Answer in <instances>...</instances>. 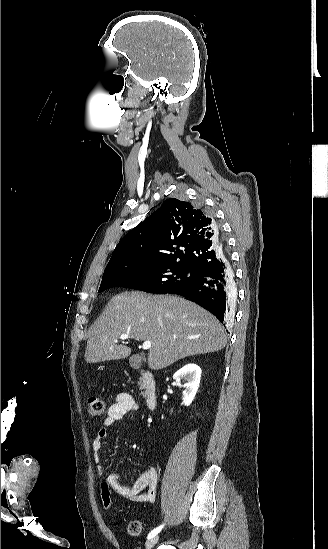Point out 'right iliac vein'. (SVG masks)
Here are the masks:
<instances>
[{
  "label": "right iliac vein",
  "instance_id": "1",
  "mask_svg": "<svg viewBox=\"0 0 328 549\" xmlns=\"http://www.w3.org/2000/svg\"><path fill=\"white\" fill-rule=\"evenodd\" d=\"M158 536H154L152 538H150L149 540H147V542L145 543V548L146 549H152L153 546L158 542Z\"/></svg>",
  "mask_w": 328,
  "mask_h": 549
}]
</instances>
